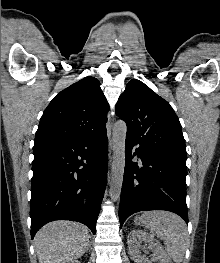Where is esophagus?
<instances>
[{
    "label": "esophagus",
    "mask_w": 220,
    "mask_h": 263,
    "mask_svg": "<svg viewBox=\"0 0 220 263\" xmlns=\"http://www.w3.org/2000/svg\"><path fill=\"white\" fill-rule=\"evenodd\" d=\"M111 161H112V158L110 157V163H111Z\"/></svg>",
    "instance_id": "esophagus-1"
}]
</instances>
